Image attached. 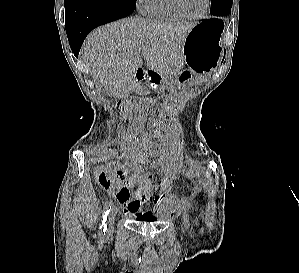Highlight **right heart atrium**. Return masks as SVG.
I'll return each mask as SVG.
<instances>
[{
	"mask_svg": "<svg viewBox=\"0 0 299 273\" xmlns=\"http://www.w3.org/2000/svg\"><path fill=\"white\" fill-rule=\"evenodd\" d=\"M145 0H138L139 7L142 9Z\"/></svg>",
	"mask_w": 299,
	"mask_h": 273,
	"instance_id": "obj_1",
	"label": "right heart atrium"
}]
</instances>
